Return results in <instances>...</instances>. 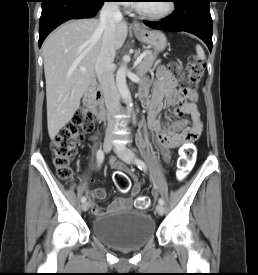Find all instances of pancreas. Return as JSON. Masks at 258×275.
<instances>
[{"instance_id":"1","label":"pancreas","mask_w":258,"mask_h":275,"mask_svg":"<svg viewBox=\"0 0 258 275\" xmlns=\"http://www.w3.org/2000/svg\"><path fill=\"white\" fill-rule=\"evenodd\" d=\"M157 55L153 53H147L142 61L139 63L137 67V74L139 76H143L146 74L153 66H155L158 61H156Z\"/></svg>"}]
</instances>
